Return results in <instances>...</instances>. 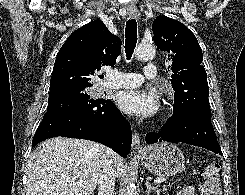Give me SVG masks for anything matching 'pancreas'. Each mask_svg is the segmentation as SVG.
Here are the masks:
<instances>
[{
    "label": "pancreas",
    "mask_w": 245,
    "mask_h": 195,
    "mask_svg": "<svg viewBox=\"0 0 245 195\" xmlns=\"http://www.w3.org/2000/svg\"><path fill=\"white\" fill-rule=\"evenodd\" d=\"M172 186V184L171 185H169V187H171ZM167 187V185H163V188H166Z\"/></svg>",
    "instance_id": "1"
}]
</instances>
